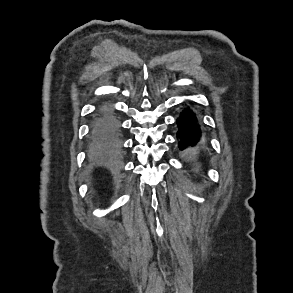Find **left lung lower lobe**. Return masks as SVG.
Instances as JSON below:
<instances>
[{
  "mask_svg": "<svg viewBox=\"0 0 293 293\" xmlns=\"http://www.w3.org/2000/svg\"><path fill=\"white\" fill-rule=\"evenodd\" d=\"M177 124L179 125L177 137L180 139L179 147L181 150L188 146H193L201 140V131L196 116L192 111H183Z\"/></svg>",
  "mask_w": 293,
  "mask_h": 293,
  "instance_id": "0a47b994",
  "label": "left lung lower lobe"
}]
</instances>
